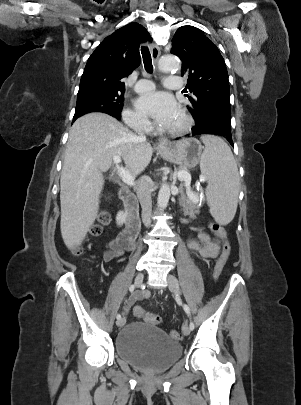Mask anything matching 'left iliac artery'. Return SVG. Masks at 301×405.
<instances>
[{
  "label": "left iliac artery",
  "mask_w": 301,
  "mask_h": 405,
  "mask_svg": "<svg viewBox=\"0 0 301 405\" xmlns=\"http://www.w3.org/2000/svg\"><path fill=\"white\" fill-rule=\"evenodd\" d=\"M184 310L190 316V309L187 305H184ZM189 327H190V330H194V323L192 320L190 321Z\"/></svg>",
  "instance_id": "obj_1"
}]
</instances>
